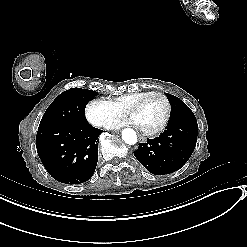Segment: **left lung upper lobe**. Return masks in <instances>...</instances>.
I'll return each mask as SVG.
<instances>
[{
  "instance_id": "obj_1",
  "label": "left lung upper lobe",
  "mask_w": 247,
  "mask_h": 247,
  "mask_svg": "<svg viewBox=\"0 0 247 247\" xmlns=\"http://www.w3.org/2000/svg\"><path fill=\"white\" fill-rule=\"evenodd\" d=\"M171 104V114L169 122L180 119H196L193 112L176 96L165 93Z\"/></svg>"
}]
</instances>
